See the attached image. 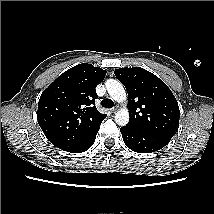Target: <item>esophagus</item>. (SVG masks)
I'll return each instance as SVG.
<instances>
[{
  "label": "esophagus",
  "instance_id": "obj_1",
  "mask_svg": "<svg viewBox=\"0 0 214 214\" xmlns=\"http://www.w3.org/2000/svg\"><path fill=\"white\" fill-rule=\"evenodd\" d=\"M118 110V106H115L111 109V112H116Z\"/></svg>",
  "mask_w": 214,
  "mask_h": 214
}]
</instances>
